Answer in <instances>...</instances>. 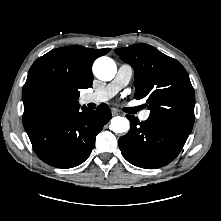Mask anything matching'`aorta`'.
Returning a JSON list of instances; mask_svg holds the SVG:
<instances>
[{"label":"aorta","mask_w":221,"mask_h":221,"mask_svg":"<svg viewBox=\"0 0 221 221\" xmlns=\"http://www.w3.org/2000/svg\"><path fill=\"white\" fill-rule=\"evenodd\" d=\"M116 64L109 57L98 58L93 65L95 76L102 81H110L116 75ZM130 123L125 117L117 116L111 119L110 129L115 133H123L129 130Z\"/></svg>","instance_id":"762f6f07"}]
</instances>
